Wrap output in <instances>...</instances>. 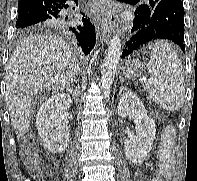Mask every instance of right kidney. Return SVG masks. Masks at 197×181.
<instances>
[{
  "label": "right kidney",
  "mask_w": 197,
  "mask_h": 181,
  "mask_svg": "<svg viewBox=\"0 0 197 181\" xmlns=\"http://www.w3.org/2000/svg\"><path fill=\"white\" fill-rule=\"evenodd\" d=\"M72 103L65 93L52 95L41 105L36 117L38 134L45 147L52 152H63L69 143L70 131L61 114Z\"/></svg>",
  "instance_id": "ca27d5eb"
}]
</instances>
